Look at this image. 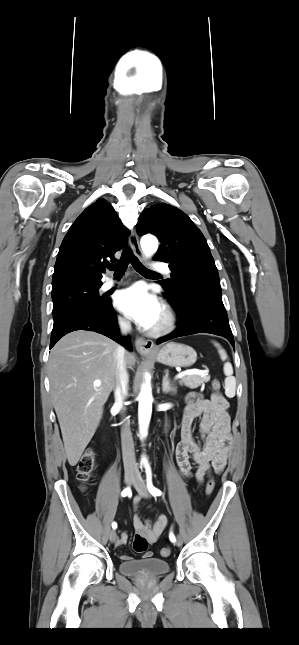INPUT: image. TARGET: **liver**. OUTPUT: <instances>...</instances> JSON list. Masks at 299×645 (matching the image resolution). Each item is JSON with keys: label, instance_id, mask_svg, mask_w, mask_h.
<instances>
[{"label": "liver", "instance_id": "obj_1", "mask_svg": "<svg viewBox=\"0 0 299 645\" xmlns=\"http://www.w3.org/2000/svg\"><path fill=\"white\" fill-rule=\"evenodd\" d=\"M118 344L91 331H74L52 348L48 361L50 393L66 457L75 466L100 423L103 407L116 386ZM129 367L132 353L125 355ZM99 380L101 385L94 386Z\"/></svg>", "mask_w": 299, "mask_h": 645}]
</instances>
